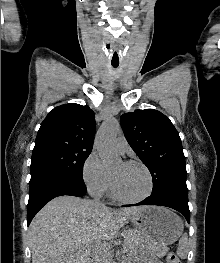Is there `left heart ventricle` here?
<instances>
[{"label":"left heart ventricle","instance_id":"1","mask_svg":"<svg viewBox=\"0 0 220 263\" xmlns=\"http://www.w3.org/2000/svg\"><path fill=\"white\" fill-rule=\"evenodd\" d=\"M116 187L121 195L137 198L144 195L149 187V180L144 169L137 165L119 162L112 170Z\"/></svg>","mask_w":220,"mask_h":263}]
</instances>
